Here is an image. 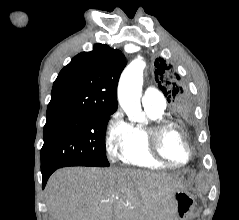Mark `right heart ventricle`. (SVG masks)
<instances>
[{
    "label": "right heart ventricle",
    "mask_w": 239,
    "mask_h": 220,
    "mask_svg": "<svg viewBox=\"0 0 239 220\" xmlns=\"http://www.w3.org/2000/svg\"><path fill=\"white\" fill-rule=\"evenodd\" d=\"M149 120L164 118V109L145 107ZM118 159L125 165L142 168H164L169 164L158 160L149 151L145 127L131 126L129 139L121 147Z\"/></svg>",
    "instance_id": "right-heart-ventricle-1"
}]
</instances>
